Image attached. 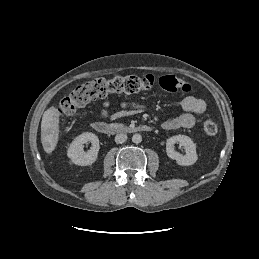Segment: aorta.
<instances>
[{
	"mask_svg": "<svg viewBox=\"0 0 259 259\" xmlns=\"http://www.w3.org/2000/svg\"><path fill=\"white\" fill-rule=\"evenodd\" d=\"M132 141H133L134 143H136V144L141 143V141H142V136H141L140 134H134V135L132 136Z\"/></svg>",
	"mask_w": 259,
	"mask_h": 259,
	"instance_id": "762f6f07",
	"label": "aorta"
}]
</instances>
